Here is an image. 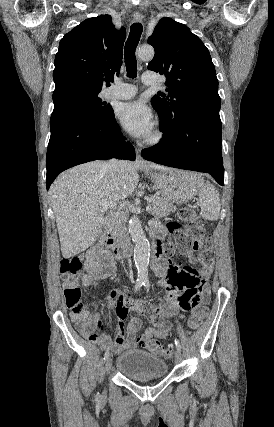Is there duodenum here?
<instances>
[{
  "mask_svg": "<svg viewBox=\"0 0 274 427\" xmlns=\"http://www.w3.org/2000/svg\"><path fill=\"white\" fill-rule=\"evenodd\" d=\"M110 219L101 228L97 241L99 247H111L112 253L116 259H123L130 254V245L124 242H116L109 233ZM163 230L158 229L153 232V255L159 258L163 252Z\"/></svg>",
  "mask_w": 274,
  "mask_h": 427,
  "instance_id": "obj_1",
  "label": "duodenum"
}]
</instances>
